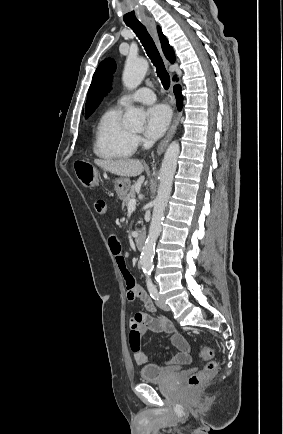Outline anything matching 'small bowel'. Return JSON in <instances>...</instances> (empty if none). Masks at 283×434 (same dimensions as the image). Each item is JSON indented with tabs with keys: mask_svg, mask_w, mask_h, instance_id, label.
Masks as SVG:
<instances>
[{
	"mask_svg": "<svg viewBox=\"0 0 283 434\" xmlns=\"http://www.w3.org/2000/svg\"><path fill=\"white\" fill-rule=\"evenodd\" d=\"M96 212L100 215H105L108 211L107 203L102 200H96L94 204ZM109 247L112 254L115 256L119 271L124 279L126 286L127 298L130 302L140 299L145 308L151 312H156V308L151 299L143 291V289L135 282L134 278L128 271L125 259L121 254V244L115 235L109 237ZM130 327V347L134 359L138 365H147L148 359L141 350V337L147 331L164 332L170 335L171 344L178 349V353L172 356L169 360L160 362L163 366H180L190 361L189 344L182 334L176 329L174 324L166 317L155 318L145 312L135 313L129 321Z\"/></svg>",
	"mask_w": 283,
	"mask_h": 434,
	"instance_id": "c3829d8e",
	"label": "small bowel"
}]
</instances>
